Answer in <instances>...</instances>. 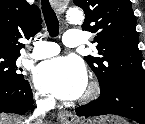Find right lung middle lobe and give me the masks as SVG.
Masks as SVG:
<instances>
[{"label":"right lung middle lobe","instance_id":"right-lung-middle-lobe-1","mask_svg":"<svg viewBox=\"0 0 145 124\" xmlns=\"http://www.w3.org/2000/svg\"><path fill=\"white\" fill-rule=\"evenodd\" d=\"M20 55L0 51V78L21 80L24 76L19 73L22 69L16 66V59Z\"/></svg>","mask_w":145,"mask_h":124}]
</instances>
